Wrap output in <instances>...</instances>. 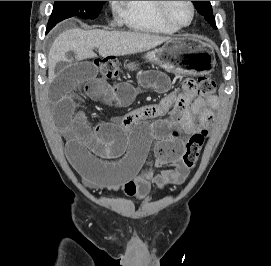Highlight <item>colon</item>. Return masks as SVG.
<instances>
[{
  "label": "colon",
  "mask_w": 271,
  "mask_h": 266,
  "mask_svg": "<svg viewBox=\"0 0 271 266\" xmlns=\"http://www.w3.org/2000/svg\"><path fill=\"white\" fill-rule=\"evenodd\" d=\"M94 64L105 79L113 78L119 73V63L113 58L97 59ZM214 89V79L209 75L187 78L183 81L180 95L206 98L213 94ZM206 138L207 131L202 129L194 132L187 140L181 162L184 172L189 173L195 167Z\"/></svg>",
  "instance_id": "5ec220e1"
}]
</instances>
